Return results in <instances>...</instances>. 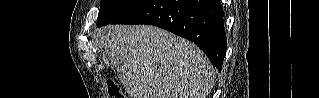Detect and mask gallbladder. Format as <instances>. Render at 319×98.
<instances>
[{
  "instance_id": "obj_1",
  "label": "gallbladder",
  "mask_w": 319,
  "mask_h": 98,
  "mask_svg": "<svg viewBox=\"0 0 319 98\" xmlns=\"http://www.w3.org/2000/svg\"><path fill=\"white\" fill-rule=\"evenodd\" d=\"M102 54H103V61L106 64H112V60L119 61L115 56H111L110 53H108V51L106 50H103Z\"/></svg>"
}]
</instances>
